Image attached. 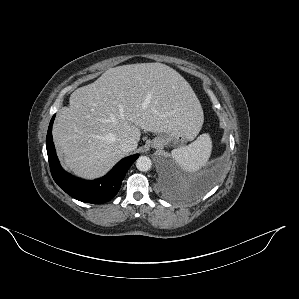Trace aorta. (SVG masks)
Returning <instances> with one entry per match:
<instances>
[{"mask_svg": "<svg viewBox=\"0 0 299 299\" xmlns=\"http://www.w3.org/2000/svg\"><path fill=\"white\" fill-rule=\"evenodd\" d=\"M152 166V161L149 157L147 156H140L136 160V167L140 171H148Z\"/></svg>", "mask_w": 299, "mask_h": 299, "instance_id": "obj_1", "label": "aorta"}]
</instances>
